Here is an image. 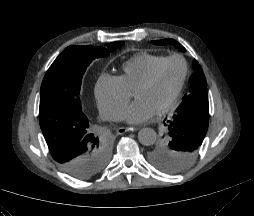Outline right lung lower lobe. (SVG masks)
<instances>
[{
  "label": "right lung lower lobe",
  "mask_w": 254,
  "mask_h": 216,
  "mask_svg": "<svg viewBox=\"0 0 254 216\" xmlns=\"http://www.w3.org/2000/svg\"><path fill=\"white\" fill-rule=\"evenodd\" d=\"M39 122L51 156L67 174L88 179L100 171L99 142L79 99L59 90L42 93Z\"/></svg>",
  "instance_id": "right-lung-lower-lobe-1"
}]
</instances>
